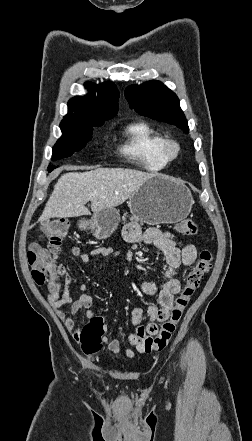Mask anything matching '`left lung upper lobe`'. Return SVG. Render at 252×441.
Listing matches in <instances>:
<instances>
[{"label":"left lung upper lobe","instance_id":"5c2ea615","mask_svg":"<svg viewBox=\"0 0 252 441\" xmlns=\"http://www.w3.org/2000/svg\"><path fill=\"white\" fill-rule=\"evenodd\" d=\"M130 108L139 114L165 121L188 131L187 120L180 108L179 99L159 81L132 85L125 92Z\"/></svg>","mask_w":252,"mask_h":441}]
</instances>
